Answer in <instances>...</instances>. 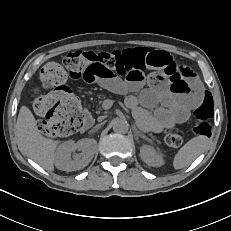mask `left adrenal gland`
Here are the masks:
<instances>
[{
    "instance_id": "1",
    "label": "left adrenal gland",
    "mask_w": 231,
    "mask_h": 231,
    "mask_svg": "<svg viewBox=\"0 0 231 231\" xmlns=\"http://www.w3.org/2000/svg\"><path fill=\"white\" fill-rule=\"evenodd\" d=\"M134 135L136 140H138V138L141 137L149 141V139L143 133H141L136 127H134Z\"/></svg>"
}]
</instances>
